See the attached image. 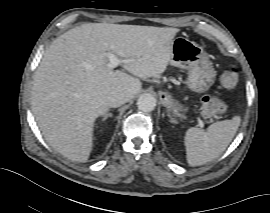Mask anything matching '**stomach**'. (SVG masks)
<instances>
[{
  "instance_id": "obj_1",
  "label": "stomach",
  "mask_w": 270,
  "mask_h": 213,
  "mask_svg": "<svg viewBox=\"0 0 270 213\" xmlns=\"http://www.w3.org/2000/svg\"><path fill=\"white\" fill-rule=\"evenodd\" d=\"M171 49L170 64L188 70L187 87L195 93L206 92L214 84L216 77V71L208 57L197 45L184 37L175 38ZM159 95L168 113L176 115L188 110L171 93L160 91Z\"/></svg>"
}]
</instances>
